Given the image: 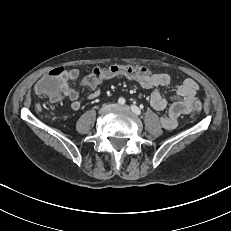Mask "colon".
<instances>
[{
	"instance_id": "obj_1",
	"label": "colon",
	"mask_w": 231,
	"mask_h": 231,
	"mask_svg": "<svg viewBox=\"0 0 231 231\" xmlns=\"http://www.w3.org/2000/svg\"><path fill=\"white\" fill-rule=\"evenodd\" d=\"M147 68L142 66L134 65H111L106 68H95L93 71L83 80L82 84L85 87L93 88L100 84L102 81L117 77L124 76L127 80L133 81L134 85L136 79L140 76L145 75H155L164 74L157 73L154 71H146ZM63 68H54L48 75L43 77L35 86L34 91L37 94H43L48 96L53 101L60 100L61 92L57 83V77L62 73ZM138 87V86H136ZM189 109H191L196 116H199L205 109V104L202 100L192 99L188 104Z\"/></svg>"
}]
</instances>
